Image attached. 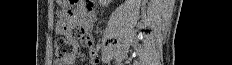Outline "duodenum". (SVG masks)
I'll list each match as a JSON object with an SVG mask.
<instances>
[{
  "label": "duodenum",
  "mask_w": 232,
  "mask_h": 65,
  "mask_svg": "<svg viewBox=\"0 0 232 65\" xmlns=\"http://www.w3.org/2000/svg\"><path fill=\"white\" fill-rule=\"evenodd\" d=\"M90 27V21L88 19H82L81 21V28L82 29H89Z\"/></svg>",
  "instance_id": "obj_1"
}]
</instances>
